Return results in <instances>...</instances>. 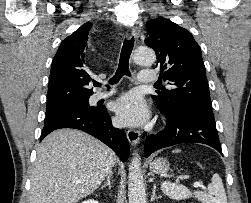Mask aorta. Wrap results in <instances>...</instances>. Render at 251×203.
<instances>
[{"label":"aorta","mask_w":251,"mask_h":203,"mask_svg":"<svg viewBox=\"0 0 251 203\" xmlns=\"http://www.w3.org/2000/svg\"><path fill=\"white\" fill-rule=\"evenodd\" d=\"M155 60V52L150 48H139L133 55V61L141 66H151ZM140 160V156L135 152L131 159L128 173L129 203H146L145 185Z\"/></svg>","instance_id":"obj_1"}]
</instances>
